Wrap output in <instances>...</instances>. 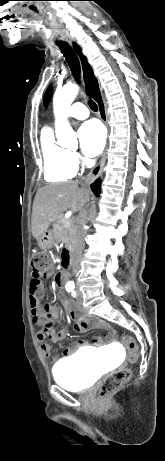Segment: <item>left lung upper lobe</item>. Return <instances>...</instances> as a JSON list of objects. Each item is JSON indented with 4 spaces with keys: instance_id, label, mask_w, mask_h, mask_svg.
I'll return each mask as SVG.
<instances>
[{
    "instance_id": "5c2ea615",
    "label": "left lung upper lobe",
    "mask_w": 165,
    "mask_h": 461,
    "mask_svg": "<svg viewBox=\"0 0 165 461\" xmlns=\"http://www.w3.org/2000/svg\"><path fill=\"white\" fill-rule=\"evenodd\" d=\"M49 95H50L49 92H47L46 95H45V99H44L45 105H46V103H47V101H48Z\"/></svg>"
}]
</instances>
